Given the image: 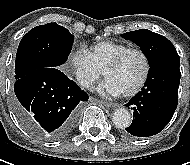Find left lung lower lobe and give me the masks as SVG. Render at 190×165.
<instances>
[{
  "mask_svg": "<svg viewBox=\"0 0 190 165\" xmlns=\"http://www.w3.org/2000/svg\"><path fill=\"white\" fill-rule=\"evenodd\" d=\"M180 58L171 56L150 66L145 87L127 103L133 112L126 131L148 137L159 133L171 120L178 103Z\"/></svg>",
  "mask_w": 190,
  "mask_h": 165,
  "instance_id": "1",
  "label": "left lung lower lobe"
}]
</instances>
